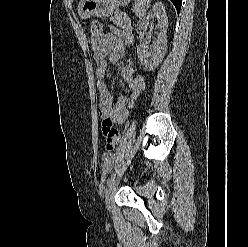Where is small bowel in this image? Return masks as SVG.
<instances>
[{
  "label": "small bowel",
  "mask_w": 248,
  "mask_h": 247,
  "mask_svg": "<svg viewBox=\"0 0 248 247\" xmlns=\"http://www.w3.org/2000/svg\"><path fill=\"white\" fill-rule=\"evenodd\" d=\"M133 43V35L126 30L112 27L110 32L92 35L90 47L96 63L98 78L99 113L102 118V132L105 137V153L102 159V168L105 172L113 166V150L120 141V133L113 125L119 123L120 114L124 108L128 95H120L114 103L111 92L106 83L108 62L117 63L125 55V47ZM122 80L130 88L135 79V68L131 63L121 68Z\"/></svg>",
  "instance_id": "c3829d8e"
}]
</instances>
